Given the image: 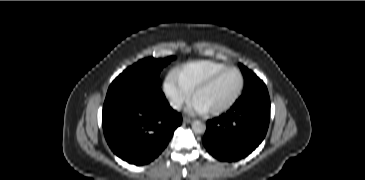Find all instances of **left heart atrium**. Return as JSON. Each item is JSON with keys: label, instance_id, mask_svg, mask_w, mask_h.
Here are the masks:
<instances>
[{"label": "left heart atrium", "instance_id": "1", "mask_svg": "<svg viewBox=\"0 0 365 180\" xmlns=\"http://www.w3.org/2000/svg\"><path fill=\"white\" fill-rule=\"evenodd\" d=\"M189 109L191 111L197 112V113H203L205 112V109L203 107H201L198 103H196L195 101H192V103L189 106Z\"/></svg>", "mask_w": 365, "mask_h": 180}]
</instances>
